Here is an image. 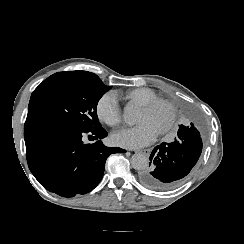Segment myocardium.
<instances>
[{"label": "myocardium", "instance_id": "1", "mask_svg": "<svg viewBox=\"0 0 244 244\" xmlns=\"http://www.w3.org/2000/svg\"><path fill=\"white\" fill-rule=\"evenodd\" d=\"M160 105H162L163 107H165V110L168 112L169 117H170L169 125L161 133V134H165V133H167L171 129V127H172V121L175 120V115L173 113V110L169 107V104L167 102L156 101V102H152V103L142 104L139 107L141 109L145 110V111H149V110H154V109L158 108Z\"/></svg>", "mask_w": 244, "mask_h": 244}]
</instances>
